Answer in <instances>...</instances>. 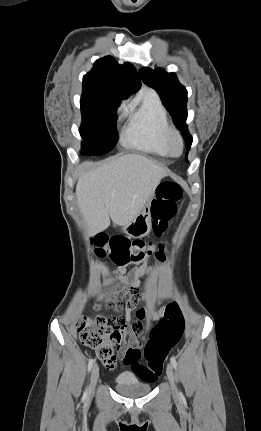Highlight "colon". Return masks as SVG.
I'll use <instances>...</instances> for the list:
<instances>
[{
	"label": "colon",
	"instance_id": "1",
	"mask_svg": "<svg viewBox=\"0 0 261 431\" xmlns=\"http://www.w3.org/2000/svg\"><path fill=\"white\" fill-rule=\"evenodd\" d=\"M181 197L182 190L178 184L163 182L159 185L156 199L151 207L153 230L157 236H161L166 230L168 221L174 216L177 202ZM94 244L100 256L109 255L112 262L121 267L130 262L141 261L154 254L158 258H162L161 246L159 245L160 251H157L158 246L153 241H130L123 236L108 237L101 234L95 237ZM141 294L144 295L142 292ZM76 329L82 342L96 349L99 358L107 367H114L116 350L120 347L121 336L118 330L113 329L111 322L103 316L89 317L83 315L78 318ZM183 332L184 318L182 313L175 303H171L166 307L164 315L150 334L149 342L144 351L147 365L136 363L140 357V352L130 350L128 356L131 360L126 363V366L129 369L133 368V373L139 375L142 383L155 384L160 380L165 357L180 341Z\"/></svg>",
	"mask_w": 261,
	"mask_h": 431
}]
</instances>
